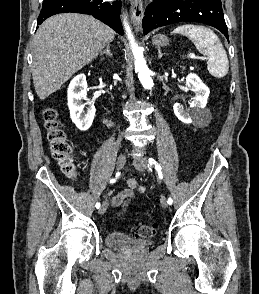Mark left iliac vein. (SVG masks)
Listing matches in <instances>:
<instances>
[{
	"label": "left iliac vein",
	"mask_w": 259,
	"mask_h": 294,
	"mask_svg": "<svg viewBox=\"0 0 259 294\" xmlns=\"http://www.w3.org/2000/svg\"><path fill=\"white\" fill-rule=\"evenodd\" d=\"M133 165L137 170L145 171L147 168V160L137 158L133 161ZM160 203H161L162 208H164V209L167 208L168 203H167L165 196H163V195L161 196Z\"/></svg>",
	"instance_id": "left-iliac-vein-1"
}]
</instances>
